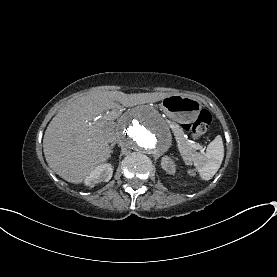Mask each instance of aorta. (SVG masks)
<instances>
[{
	"instance_id": "obj_1",
	"label": "aorta",
	"mask_w": 277,
	"mask_h": 277,
	"mask_svg": "<svg viewBox=\"0 0 277 277\" xmlns=\"http://www.w3.org/2000/svg\"><path fill=\"white\" fill-rule=\"evenodd\" d=\"M119 141L128 150L157 158L170 148L172 137L161 116L151 109L140 108L121 120Z\"/></svg>"
}]
</instances>
